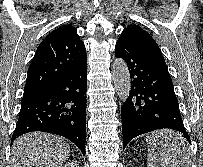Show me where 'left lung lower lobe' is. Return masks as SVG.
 <instances>
[{"label":"left lung lower lobe","mask_w":203,"mask_h":167,"mask_svg":"<svg viewBox=\"0 0 203 167\" xmlns=\"http://www.w3.org/2000/svg\"><path fill=\"white\" fill-rule=\"evenodd\" d=\"M115 56L128 64L132 79L121 107L123 149L136 136L163 128L179 131L191 143L166 63L119 41Z\"/></svg>","instance_id":"obj_1"}]
</instances>
